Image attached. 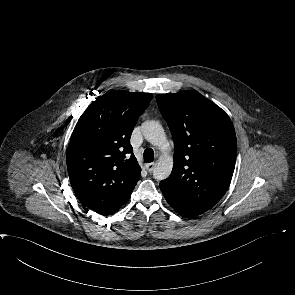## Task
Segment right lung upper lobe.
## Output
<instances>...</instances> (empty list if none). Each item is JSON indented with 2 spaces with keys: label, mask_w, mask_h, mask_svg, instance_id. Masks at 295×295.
<instances>
[{
  "label": "right lung upper lobe",
  "mask_w": 295,
  "mask_h": 295,
  "mask_svg": "<svg viewBox=\"0 0 295 295\" xmlns=\"http://www.w3.org/2000/svg\"><path fill=\"white\" fill-rule=\"evenodd\" d=\"M151 93L111 91L92 102L79 118L67 148V169L78 199L110 215L126 203L141 168L129 143Z\"/></svg>",
  "instance_id": "right-lung-upper-lobe-1"
}]
</instances>
